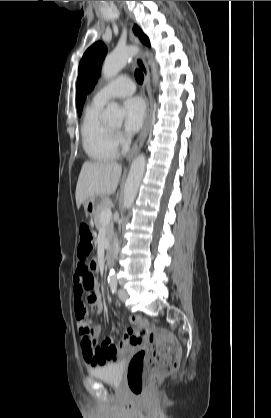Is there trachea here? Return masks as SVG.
Segmentation results:
<instances>
[{
  "label": "trachea",
  "instance_id": "1",
  "mask_svg": "<svg viewBox=\"0 0 271 418\" xmlns=\"http://www.w3.org/2000/svg\"><path fill=\"white\" fill-rule=\"evenodd\" d=\"M135 78L137 80L138 83L142 84L143 83V73L140 70H136L135 71Z\"/></svg>",
  "mask_w": 271,
  "mask_h": 418
}]
</instances>
